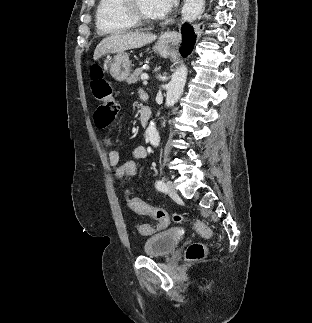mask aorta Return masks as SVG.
<instances>
[{
  "mask_svg": "<svg viewBox=\"0 0 312 323\" xmlns=\"http://www.w3.org/2000/svg\"><path fill=\"white\" fill-rule=\"evenodd\" d=\"M187 74L188 72L186 66H181V68H177L176 72H174L171 78V82L167 84L165 106H168V108L169 106H174V104L178 102L187 80ZM146 132L148 136V142H150L151 146L157 148V146H159L160 144V136L159 132H157L156 130L154 122H151V124H149Z\"/></svg>",
  "mask_w": 312,
  "mask_h": 323,
  "instance_id": "1",
  "label": "aorta"
}]
</instances>
